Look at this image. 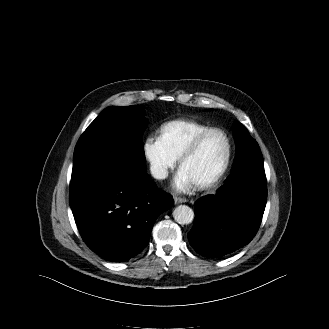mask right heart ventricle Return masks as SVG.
I'll return each instance as SVG.
<instances>
[{"instance_id": "1", "label": "right heart ventricle", "mask_w": 329, "mask_h": 329, "mask_svg": "<svg viewBox=\"0 0 329 329\" xmlns=\"http://www.w3.org/2000/svg\"><path fill=\"white\" fill-rule=\"evenodd\" d=\"M207 129H209L207 125L193 120H173L161 126L159 139L170 153L179 159L190 142Z\"/></svg>"}]
</instances>
